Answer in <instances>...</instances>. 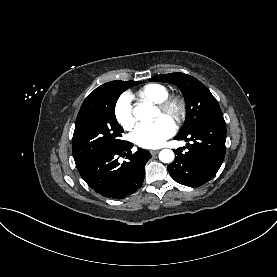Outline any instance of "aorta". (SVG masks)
<instances>
[{"instance_id": "obj_1", "label": "aorta", "mask_w": 277, "mask_h": 277, "mask_svg": "<svg viewBox=\"0 0 277 277\" xmlns=\"http://www.w3.org/2000/svg\"><path fill=\"white\" fill-rule=\"evenodd\" d=\"M133 115L141 122H151L157 113L151 104L142 103L135 107ZM159 159L163 163H171L174 160V152L170 149H163L159 153Z\"/></svg>"}]
</instances>
